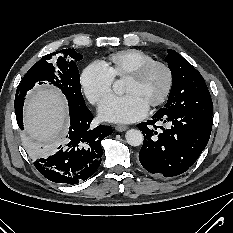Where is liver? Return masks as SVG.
I'll list each match as a JSON object with an SVG mask.
<instances>
[{"label":"liver","mask_w":233,"mask_h":233,"mask_svg":"<svg viewBox=\"0 0 233 233\" xmlns=\"http://www.w3.org/2000/svg\"><path fill=\"white\" fill-rule=\"evenodd\" d=\"M24 122L35 147L29 154L38 158L45 154L48 145L67 132V106L64 97L54 88H38L28 98L24 110ZM36 150L31 153L30 150Z\"/></svg>","instance_id":"liver-1"}]
</instances>
